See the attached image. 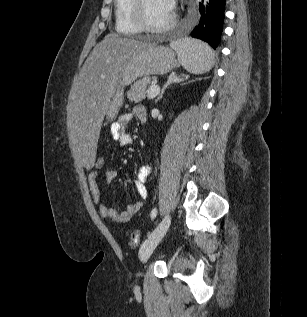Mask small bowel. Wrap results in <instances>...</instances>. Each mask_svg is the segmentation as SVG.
I'll use <instances>...</instances> for the list:
<instances>
[{"label": "small bowel", "instance_id": "small-bowel-1", "mask_svg": "<svg viewBox=\"0 0 307 317\" xmlns=\"http://www.w3.org/2000/svg\"><path fill=\"white\" fill-rule=\"evenodd\" d=\"M134 116L143 121V118L146 119L145 109L143 107H137L134 109L133 113L122 114L119 119L110 127L112 138L116 140L120 144V146H127L131 143V135L128 132L127 127ZM150 174V166L145 165L141 166L138 169L136 178L134 180V186L140 199L135 201L134 203L129 204L126 209L118 211L102 202L101 192L98 185V172L96 170L91 171L88 176L89 189L93 201L98 205L101 217L110 219L114 223L128 222L136 213H138L143 208V200L147 196V189L145 184ZM104 176L107 182H112L116 178V172L112 169H106L104 172Z\"/></svg>", "mask_w": 307, "mask_h": 317}]
</instances>
